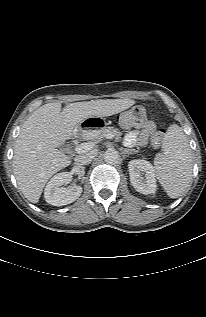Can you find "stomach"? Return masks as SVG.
Here are the masks:
<instances>
[{
	"label": "stomach",
	"mask_w": 206,
	"mask_h": 317,
	"mask_svg": "<svg viewBox=\"0 0 206 317\" xmlns=\"http://www.w3.org/2000/svg\"><path fill=\"white\" fill-rule=\"evenodd\" d=\"M116 116L112 114H101L96 117L84 118L76 126V135L84 141L92 142L95 134H100L101 130H109L116 127Z\"/></svg>",
	"instance_id": "1"
}]
</instances>
